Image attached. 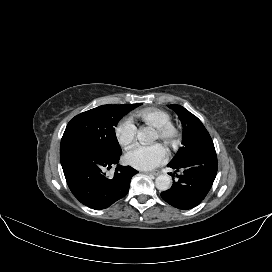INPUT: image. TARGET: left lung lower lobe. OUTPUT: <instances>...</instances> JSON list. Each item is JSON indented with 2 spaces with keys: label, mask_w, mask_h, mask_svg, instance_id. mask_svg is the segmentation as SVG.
Masks as SVG:
<instances>
[{
  "label": "left lung lower lobe",
  "mask_w": 272,
  "mask_h": 272,
  "mask_svg": "<svg viewBox=\"0 0 272 272\" xmlns=\"http://www.w3.org/2000/svg\"><path fill=\"white\" fill-rule=\"evenodd\" d=\"M168 167L183 172L172 187L161 193V197L178 209H191L200 204L209 192L217 173L215 148H208L188 156L178 163H169ZM175 176L174 174L172 175Z\"/></svg>",
  "instance_id": "1"
}]
</instances>
